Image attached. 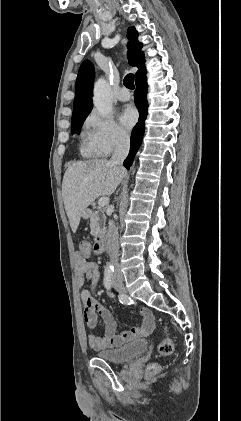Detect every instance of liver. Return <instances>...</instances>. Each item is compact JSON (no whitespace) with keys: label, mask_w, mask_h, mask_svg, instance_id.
<instances>
[{"label":"liver","mask_w":241,"mask_h":421,"mask_svg":"<svg viewBox=\"0 0 241 421\" xmlns=\"http://www.w3.org/2000/svg\"><path fill=\"white\" fill-rule=\"evenodd\" d=\"M125 169L106 159L75 162L63 177L62 197L70 227L75 233L82 213L100 195H111L125 176Z\"/></svg>","instance_id":"obj_1"}]
</instances>
